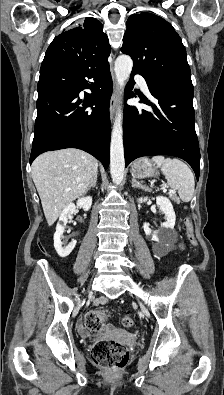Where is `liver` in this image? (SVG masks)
Segmentation results:
<instances>
[{"label": "liver", "instance_id": "liver-1", "mask_svg": "<svg viewBox=\"0 0 224 395\" xmlns=\"http://www.w3.org/2000/svg\"><path fill=\"white\" fill-rule=\"evenodd\" d=\"M98 171V161L79 149L46 152L32 164V178L49 226L63 209L88 191Z\"/></svg>", "mask_w": 224, "mask_h": 395}]
</instances>
